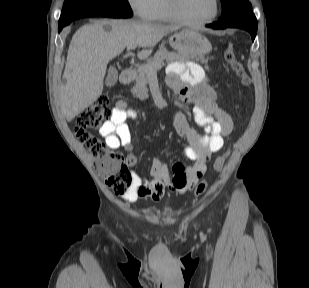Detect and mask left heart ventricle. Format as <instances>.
<instances>
[{
  "label": "left heart ventricle",
  "instance_id": "left-heart-ventricle-1",
  "mask_svg": "<svg viewBox=\"0 0 309 288\" xmlns=\"http://www.w3.org/2000/svg\"><path fill=\"white\" fill-rule=\"evenodd\" d=\"M181 14L192 21L208 18L214 10V0H179Z\"/></svg>",
  "mask_w": 309,
  "mask_h": 288
}]
</instances>
